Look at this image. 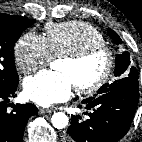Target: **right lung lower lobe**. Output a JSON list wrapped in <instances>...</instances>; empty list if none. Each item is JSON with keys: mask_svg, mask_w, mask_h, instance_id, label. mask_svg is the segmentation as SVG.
Listing matches in <instances>:
<instances>
[{"mask_svg": "<svg viewBox=\"0 0 142 142\" xmlns=\"http://www.w3.org/2000/svg\"><path fill=\"white\" fill-rule=\"evenodd\" d=\"M18 82L0 89V142H22L28 119L38 113L33 104H17L10 112L9 98L16 96Z\"/></svg>", "mask_w": 142, "mask_h": 142, "instance_id": "obj_1", "label": "right lung lower lobe"}]
</instances>
